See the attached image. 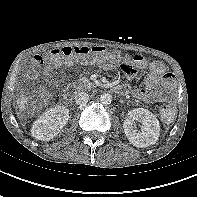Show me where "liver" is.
<instances>
[{
	"mask_svg": "<svg viewBox=\"0 0 197 197\" xmlns=\"http://www.w3.org/2000/svg\"><path fill=\"white\" fill-rule=\"evenodd\" d=\"M27 103H28V97H26V95H24V92L22 91V94L17 100L18 108L21 112L26 109Z\"/></svg>",
	"mask_w": 197,
	"mask_h": 197,
	"instance_id": "liver-1",
	"label": "liver"
}]
</instances>
